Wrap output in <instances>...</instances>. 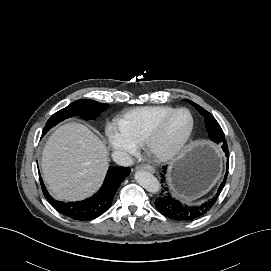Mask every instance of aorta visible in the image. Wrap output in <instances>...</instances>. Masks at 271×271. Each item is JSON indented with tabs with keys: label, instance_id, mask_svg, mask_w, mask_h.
I'll return each instance as SVG.
<instances>
[{
	"label": "aorta",
	"instance_id": "762f6f07",
	"mask_svg": "<svg viewBox=\"0 0 271 271\" xmlns=\"http://www.w3.org/2000/svg\"><path fill=\"white\" fill-rule=\"evenodd\" d=\"M134 177L136 182L148 192H159L161 185L158 179L153 174L144 170H140L135 173Z\"/></svg>",
	"mask_w": 271,
	"mask_h": 271
}]
</instances>
